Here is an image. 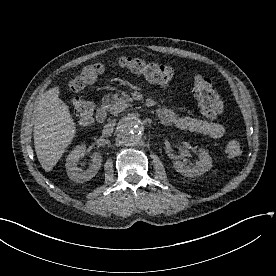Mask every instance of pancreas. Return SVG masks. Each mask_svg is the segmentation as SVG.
I'll list each match as a JSON object with an SVG mask.
<instances>
[{
    "mask_svg": "<svg viewBox=\"0 0 276 276\" xmlns=\"http://www.w3.org/2000/svg\"><path fill=\"white\" fill-rule=\"evenodd\" d=\"M132 102L133 99L124 92L114 94L111 99L108 96L106 97L107 108L113 115H117L127 107H130Z\"/></svg>",
    "mask_w": 276,
    "mask_h": 276,
    "instance_id": "1",
    "label": "pancreas"
}]
</instances>
